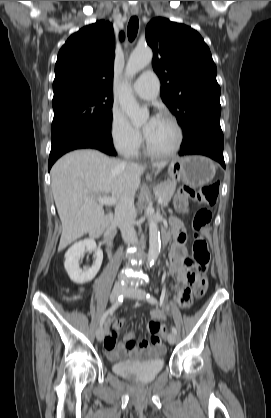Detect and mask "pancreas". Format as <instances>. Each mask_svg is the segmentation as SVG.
Masks as SVG:
<instances>
[{
	"instance_id": "cf45deb5",
	"label": "pancreas",
	"mask_w": 271,
	"mask_h": 418,
	"mask_svg": "<svg viewBox=\"0 0 271 418\" xmlns=\"http://www.w3.org/2000/svg\"><path fill=\"white\" fill-rule=\"evenodd\" d=\"M176 189V182L172 180L164 181L154 187V193L157 198L163 199V205H167L171 200Z\"/></svg>"
}]
</instances>
